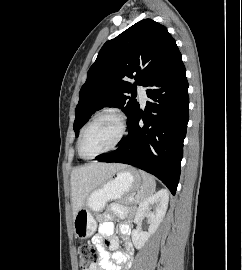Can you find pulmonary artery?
Listing matches in <instances>:
<instances>
[{
    "mask_svg": "<svg viewBox=\"0 0 242 270\" xmlns=\"http://www.w3.org/2000/svg\"><path fill=\"white\" fill-rule=\"evenodd\" d=\"M137 92L139 94L141 104L144 106L147 101L146 88L140 85L138 86Z\"/></svg>",
    "mask_w": 242,
    "mask_h": 270,
    "instance_id": "e3ab8cb5",
    "label": "pulmonary artery"
}]
</instances>
